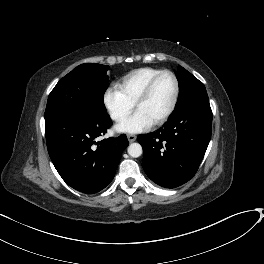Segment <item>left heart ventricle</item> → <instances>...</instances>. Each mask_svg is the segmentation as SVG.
<instances>
[{
  "label": "left heart ventricle",
  "instance_id": "left-heart-ventricle-1",
  "mask_svg": "<svg viewBox=\"0 0 264 264\" xmlns=\"http://www.w3.org/2000/svg\"><path fill=\"white\" fill-rule=\"evenodd\" d=\"M174 80L170 75H162L155 83L149 97L136 110L144 114L152 123L169 108L174 94Z\"/></svg>",
  "mask_w": 264,
  "mask_h": 264
}]
</instances>
